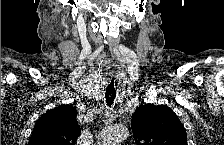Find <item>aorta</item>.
Segmentation results:
<instances>
[{
    "instance_id": "obj_1",
    "label": "aorta",
    "mask_w": 224,
    "mask_h": 145,
    "mask_svg": "<svg viewBox=\"0 0 224 145\" xmlns=\"http://www.w3.org/2000/svg\"><path fill=\"white\" fill-rule=\"evenodd\" d=\"M129 135V131L122 125H115L105 128L100 136L102 145H116L125 140Z\"/></svg>"
}]
</instances>
